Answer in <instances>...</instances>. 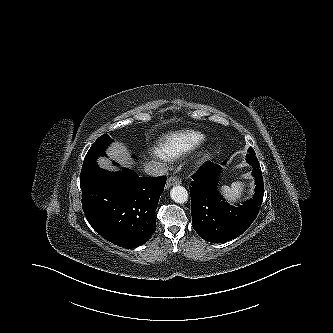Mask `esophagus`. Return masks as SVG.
Returning <instances> with one entry per match:
<instances>
[{
  "label": "esophagus",
  "mask_w": 333,
  "mask_h": 333,
  "mask_svg": "<svg viewBox=\"0 0 333 333\" xmlns=\"http://www.w3.org/2000/svg\"><path fill=\"white\" fill-rule=\"evenodd\" d=\"M179 184H181L180 178H178L177 176H171L170 178L167 179L166 188H170L171 186Z\"/></svg>",
  "instance_id": "1"
}]
</instances>
